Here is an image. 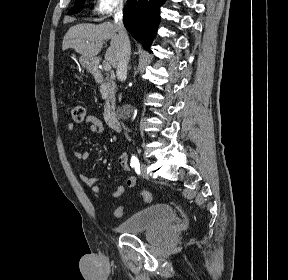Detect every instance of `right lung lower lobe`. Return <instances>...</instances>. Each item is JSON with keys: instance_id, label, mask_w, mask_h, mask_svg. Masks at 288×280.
Returning a JSON list of instances; mask_svg holds the SVG:
<instances>
[{"instance_id": "right-lung-lower-lobe-1", "label": "right lung lower lobe", "mask_w": 288, "mask_h": 280, "mask_svg": "<svg viewBox=\"0 0 288 280\" xmlns=\"http://www.w3.org/2000/svg\"><path fill=\"white\" fill-rule=\"evenodd\" d=\"M165 0H127L124 26L149 51L160 20V7Z\"/></svg>"}]
</instances>
